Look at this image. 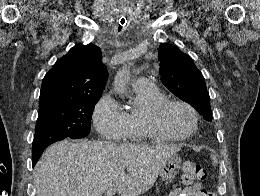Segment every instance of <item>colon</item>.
<instances>
[{
    "label": "colon",
    "mask_w": 260,
    "mask_h": 196,
    "mask_svg": "<svg viewBox=\"0 0 260 196\" xmlns=\"http://www.w3.org/2000/svg\"><path fill=\"white\" fill-rule=\"evenodd\" d=\"M207 179V171L199 164L184 162L181 166V181L185 185L202 182Z\"/></svg>",
    "instance_id": "obj_1"
}]
</instances>
